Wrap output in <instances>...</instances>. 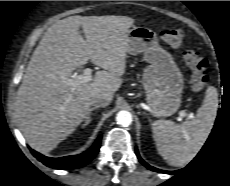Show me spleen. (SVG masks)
I'll return each mask as SVG.
<instances>
[{"mask_svg": "<svg viewBox=\"0 0 230 186\" xmlns=\"http://www.w3.org/2000/svg\"><path fill=\"white\" fill-rule=\"evenodd\" d=\"M217 109V89L208 86L203 104L193 120L182 125L170 120H158L152 124L157 150L169 165L185 166L197 155L213 128Z\"/></svg>", "mask_w": 230, "mask_h": 186, "instance_id": "3e777b00", "label": "spleen"}]
</instances>
